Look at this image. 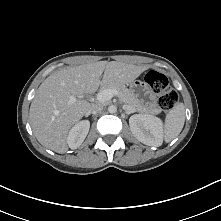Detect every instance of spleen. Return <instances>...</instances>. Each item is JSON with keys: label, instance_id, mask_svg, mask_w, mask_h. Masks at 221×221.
Returning a JSON list of instances; mask_svg holds the SVG:
<instances>
[{"label": "spleen", "instance_id": "1", "mask_svg": "<svg viewBox=\"0 0 221 221\" xmlns=\"http://www.w3.org/2000/svg\"><path fill=\"white\" fill-rule=\"evenodd\" d=\"M185 122V106L183 103H177L166 115L165 118V141L170 142L178 136Z\"/></svg>", "mask_w": 221, "mask_h": 221}]
</instances>
